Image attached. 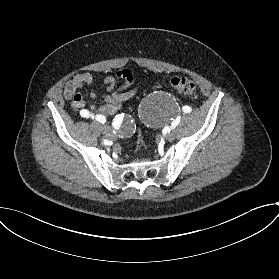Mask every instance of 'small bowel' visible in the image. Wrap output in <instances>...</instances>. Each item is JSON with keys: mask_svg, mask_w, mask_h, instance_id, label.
Returning <instances> with one entry per match:
<instances>
[{"mask_svg": "<svg viewBox=\"0 0 279 279\" xmlns=\"http://www.w3.org/2000/svg\"><path fill=\"white\" fill-rule=\"evenodd\" d=\"M132 81L133 75L129 69H122L103 77L102 82L105 84L107 91L103 96V103L87 106L79 90L83 87L89 88V97L96 99L97 92L92 88L94 77L90 73H79L74 75L67 83L64 96L71 101L74 111L83 118H90L94 113L109 115L117 112L124 102L136 95L137 88L127 89Z\"/></svg>", "mask_w": 279, "mask_h": 279, "instance_id": "1", "label": "small bowel"}]
</instances>
